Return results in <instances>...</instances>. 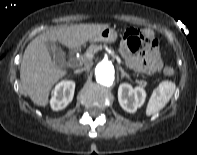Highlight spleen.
<instances>
[{
    "label": "spleen",
    "mask_w": 197,
    "mask_h": 155,
    "mask_svg": "<svg viewBox=\"0 0 197 155\" xmlns=\"http://www.w3.org/2000/svg\"><path fill=\"white\" fill-rule=\"evenodd\" d=\"M176 89L175 83L171 81H162L154 89L146 108V115L151 116L161 109L170 101Z\"/></svg>",
    "instance_id": "obj_1"
}]
</instances>
